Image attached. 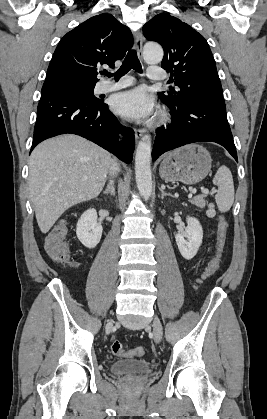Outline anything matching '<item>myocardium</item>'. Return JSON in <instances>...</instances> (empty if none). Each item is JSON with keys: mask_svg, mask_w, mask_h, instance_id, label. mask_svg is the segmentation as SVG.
Segmentation results:
<instances>
[{"mask_svg": "<svg viewBox=\"0 0 267 419\" xmlns=\"http://www.w3.org/2000/svg\"><path fill=\"white\" fill-rule=\"evenodd\" d=\"M167 119H168V113L164 110L159 113L158 118H157L158 122H164Z\"/></svg>", "mask_w": 267, "mask_h": 419, "instance_id": "myocardium-1", "label": "myocardium"}]
</instances>
